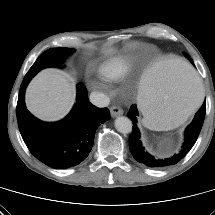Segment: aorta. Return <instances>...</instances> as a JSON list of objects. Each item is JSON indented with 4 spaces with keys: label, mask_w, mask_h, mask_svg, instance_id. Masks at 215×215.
<instances>
[{
    "label": "aorta",
    "mask_w": 215,
    "mask_h": 215,
    "mask_svg": "<svg viewBox=\"0 0 215 215\" xmlns=\"http://www.w3.org/2000/svg\"><path fill=\"white\" fill-rule=\"evenodd\" d=\"M115 128L118 132L128 134L132 131V121L125 116H119L115 119Z\"/></svg>",
    "instance_id": "obj_1"
}]
</instances>
